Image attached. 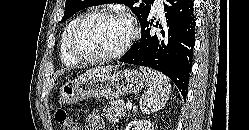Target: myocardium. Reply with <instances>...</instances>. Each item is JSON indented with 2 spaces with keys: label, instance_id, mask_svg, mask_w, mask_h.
Listing matches in <instances>:
<instances>
[{
  "label": "myocardium",
  "instance_id": "myocardium-1",
  "mask_svg": "<svg viewBox=\"0 0 249 130\" xmlns=\"http://www.w3.org/2000/svg\"><path fill=\"white\" fill-rule=\"evenodd\" d=\"M96 16H113V17H120L124 19L129 27H130V34L124 44L115 52L105 55H91L83 53L79 50L77 41L80 30L82 26L85 24L86 21L89 19L96 17ZM138 30L136 24L132 20V18L125 12L116 9H95L89 12H86L82 16L79 17L73 30L70 35L68 49L70 54L81 62H107L112 61L115 59H119L122 57L131 47L135 39L137 38Z\"/></svg>",
  "mask_w": 249,
  "mask_h": 130
}]
</instances>
